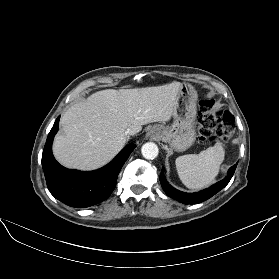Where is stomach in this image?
Listing matches in <instances>:
<instances>
[{
	"label": "stomach",
	"mask_w": 279,
	"mask_h": 279,
	"mask_svg": "<svg viewBox=\"0 0 279 279\" xmlns=\"http://www.w3.org/2000/svg\"><path fill=\"white\" fill-rule=\"evenodd\" d=\"M197 91L189 83H182L176 97L171 125H156L158 138L169 143L176 151H185L196 139L194 128L197 110Z\"/></svg>",
	"instance_id": "1"
}]
</instances>
